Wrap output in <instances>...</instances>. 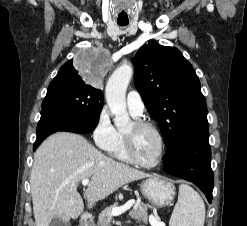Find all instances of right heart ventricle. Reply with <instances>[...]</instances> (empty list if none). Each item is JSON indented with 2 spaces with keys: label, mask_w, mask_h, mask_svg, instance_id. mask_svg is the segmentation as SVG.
Returning a JSON list of instances; mask_svg holds the SVG:
<instances>
[{
  "label": "right heart ventricle",
  "mask_w": 247,
  "mask_h": 226,
  "mask_svg": "<svg viewBox=\"0 0 247 226\" xmlns=\"http://www.w3.org/2000/svg\"><path fill=\"white\" fill-rule=\"evenodd\" d=\"M131 114L136 117L132 112ZM113 158L124 161L131 162L128 158L125 147H124V139H123V131L116 130V137L113 144L106 150Z\"/></svg>",
  "instance_id": "e07e8e85"
}]
</instances>
